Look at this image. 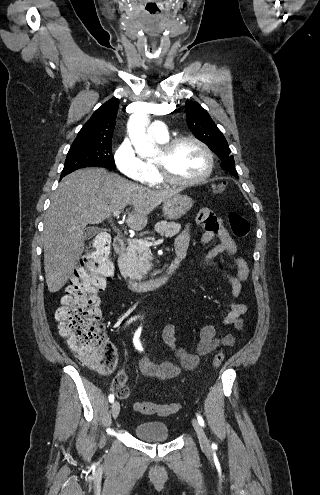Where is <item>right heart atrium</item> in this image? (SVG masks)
<instances>
[{
    "label": "right heart atrium",
    "instance_id": "right-heart-atrium-1",
    "mask_svg": "<svg viewBox=\"0 0 320 495\" xmlns=\"http://www.w3.org/2000/svg\"><path fill=\"white\" fill-rule=\"evenodd\" d=\"M114 159L119 171L127 178L140 183L151 182L152 171L137 155L129 139H124L120 143L115 151Z\"/></svg>",
    "mask_w": 320,
    "mask_h": 495
}]
</instances>
